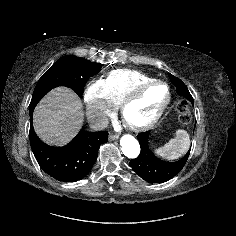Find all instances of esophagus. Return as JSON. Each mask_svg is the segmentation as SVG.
Returning <instances> with one entry per match:
<instances>
[{
	"label": "esophagus",
	"mask_w": 236,
	"mask_h": 236,
	"mask_svg": "<svg viewBox=\"0 0 236 236\" xmlns=\"http://www.w3.org/2000/svg\"><path fill=\"white\" fill-rule=\"evenodd\" d=\"M118 138H119V136L116 133H110L109 134V140H116Z\"/></svg>",
	"instance_id": "34e87169"
}]
</instances>
